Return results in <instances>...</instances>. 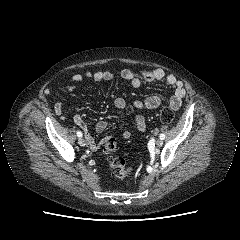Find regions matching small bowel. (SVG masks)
Here are the masks:
<instances>
[{
    "label": "small bowel",
    "mask_w": 240,
    "mask_h": 240,
    "mask_svg": "<svg viewBox=\"0 0 240 240\" xmlns=\"http://www.w3.org/2000/svg\"><path fill=\"white\" fill-rule=\"evenodd\" d=\"M122 79L128 81L133 87H139L143 82H154L164 80L168 86L173 89V94L169 99V107L172 110H178L181 107L182 100L186 94L183 83L178 80L174 75H166L161 69H155L151 71H142L140 73L134 72L131 69H123L120 73ZM114 78V74L107 70L99 71H89L85 70L81 73H76L72 75L71 80L73 84L67 86V91H73L76 88V84L83 80H94L97 82L110 81ZM162 99L159 95H151L142 100H135L132 106L135 109H156L161 105ZM114 105L119 110H125L128 106L124 98L118 97L114 100ZM63 110L62 102H56L54 104V111L57 115H61ZM74 123L79 126L86 135V140L91 150H97L104 141L97 143L93 137L89 134L88 126L84 119L76 114L73 117ZM133 122L137 128V131L143 133L146 130V120L141 114H136L133 116ZM96 131L102 133L107 130L108 123L105 120H100L97 122ZM124 139H129L133 136V131L130 129H125L122 132Z\"/></svg>",
    "instance_id": "c3829d8e"
}]
</instances>
